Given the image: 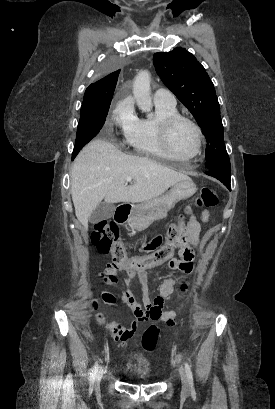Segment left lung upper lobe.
<instances>
[{
  "label": "left lung upper lobe",
  "mask_w": 275,
  "mask_h": 409,
  "mask_svg": "<svg viewBox=\"0 0 275 409\" xmlns=\"http://www.w3.org/2000/svg\"><path fill=\"white\" fill-rule=\"evenodd\" d=\"M153 63L164 84L189 109L204 132L206 169L231 174L218 99L204 67L184 48L155 53Z\"/></svg>",
  "instance_id": "1"
}]
</instances>
